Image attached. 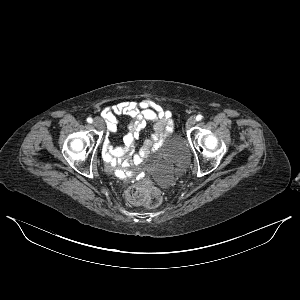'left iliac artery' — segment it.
I'll return each instance as SVG.
<instances>
[{
	"instance_id": "left-iliac-artery-1",
	"label": "left iliac artery",
	"mask_w": 300,
	"mask_h": 300,
	"mask_svg": "<svg viewBox=\"0 0 300 300\" xmlns=\"http://www.w3.org/2000/svg\"><path fill=\"white\" fill-rule=\"evenodd\" d=\"M202 118H203V116H202L201 114H199V115L196 116V120H197V121H201Z\"/></svg>"
}]
</instances>
